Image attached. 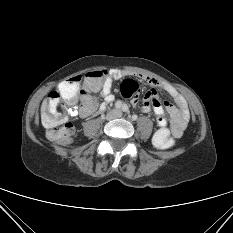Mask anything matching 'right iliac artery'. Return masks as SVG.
Instances as JSON below:
<instances>
[{
    "label": "right iliac artery",
    "instance_id": "obj_1",
    "mask_svg": "<svg viewBox=\"0 0 233 233\" xmlns=\"http://www.w3.org/2000/svg\"><path fill=\"white\" fill-rule=\"evenodd\" d=\"M115 106H116V108L119 109V108H121L122 104H121V102H117Z\"/></svg>",
    "mask_w": 233,
    "mask_h": 233
}]
</instances>
